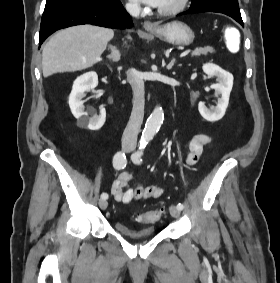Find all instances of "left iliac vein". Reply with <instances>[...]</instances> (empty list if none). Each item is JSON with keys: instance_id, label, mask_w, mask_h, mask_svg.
I'll use <instances>...</instances> for the list:
<instances>
[{"instance_id": "obj_1", "label": "left iliac vein", "mask_w": 280, "mask_h": 283, "mask_svg": "<svg viewBox=\"0 0 280 283\" xmlns=\"http://www.w3.org/2000/svg\"><path fill=\"white\" fill-rule=\"evenodd\" d=\"M169 212H170V214H171L172 217L178 218V217L180 216L181 210L178 209L176 206L171 205V206L169 207Z\"/></svg>"}]
</instances>
